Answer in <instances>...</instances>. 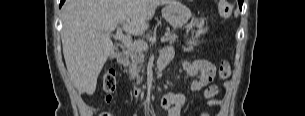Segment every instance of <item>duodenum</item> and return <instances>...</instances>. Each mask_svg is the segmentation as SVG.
<instances>
[{
  "label": "duodenum",
  "instance_id": "duodenum-1",
  "mask_svg": "<svg viewBox=\"0 0 305 116\" xmlns=\"http://www.w3.org/2000/svg\"><path fill=\"white\" fill-rule=\"evenodd\" d=\"M128 61H129V55L127 53H121L118 56V62L120 65H126ZM168 63H169V59L167 58L160 59L157 64L158 71H163Z\"/></svg>",
  "mask_w": 305,
  "mask_h": 116
}]
</instances>
